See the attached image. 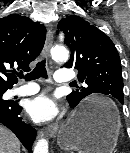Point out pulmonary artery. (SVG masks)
<instances>
[{
  "label": "pulmonary artery",
  "instance_id": "e3ab8cb5",
  "mask_svg": "<svg viewBox=\"0 0 130 153\" xmlns=\"http://www.w3.org/2000/svg\"><path fill=\"white\" fill-rule=\"evenodd\" d=\"M76 74L71 70H58L55 73V81L58 83H70L75 79ZM39 91V86L35 83H29L25 86L14 88L8 94V97L13 96H30Z\"/></svg>",
  "mask_w": 130,
  "mask_h": 153
}]
</instances>
